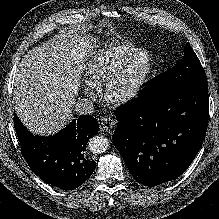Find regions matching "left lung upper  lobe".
<instances>
[{
	"instance_id": "obj_1",
	"label": "left lung upper lobe",
	"mask_w": 219,
	"mask_h": 219,
	"mask_svg": "<svg viewBox=\"0 0 219 219\" xmlns=\"http://www.w3.org/2000/svg\"><path fill=\"white\" fill-rule=\"evenodd\" d=\"M208 85L205 71L189 43L179 64L149 82L138 99L155 100L180 88Z\"/></svg>"
}]
</instances>
